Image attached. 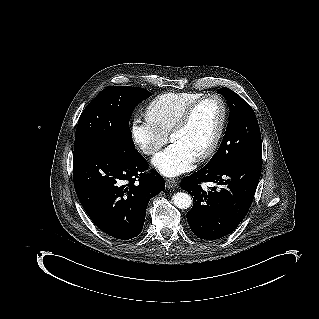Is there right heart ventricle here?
<instances>
[{"label":"right heart ventricle","mask_w":319,"mask_h":319,"mask_svg":"<svg viewBox=\"0 0 319 319\" xmlns=\"http://www.w3.org/2000/svg\"><path fill=\"white\" fill-rule=\"evenodd\" d=\"M202 97L203 94L193 92L161 96L147 111L146 124L161 131H167L166 127H173L182 114Z\"/></svg>","instance_id":"right-heart-ventricle-1"}]
</instances>
